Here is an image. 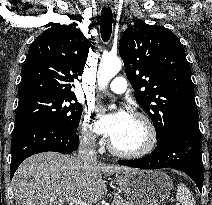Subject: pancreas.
Returning a JSON list of instances; mask_svg holds the SVG:
<instances>
[{
	"label": "pancreas",
	"mask_w": 212,
	"mask_h": 205,
	"mask_svg": "<svg viewBox=\"0 0 212 205\" xmlns=\"http://www.w3.org/2000/svg\"><path fill=\"white\" fill-rule=\"evenodd\" d=\"M112 205H132V203L127 202L126 200H123L122 198L117 196L114 198Z\"/></svg>",
	"instance_id": "cf45deb5"
}]
</instances>
